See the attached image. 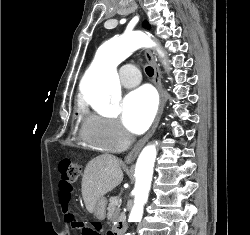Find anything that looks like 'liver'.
I'll return each mask as SVG.
<instances>
[{"mask_svg": "<svg viewBox=\"0 0 250 235\" xmlns=\"http://www.w3.org/2000/svg\"><path fill=\"white\" fill-rule=\"evenodd\" d=\"M123 180L119 160L109 154L92 159L84 170L82 197L89 213L94 212L96 202L116 188Z\"/></svg>", "mask_w": 250, "mask_h": 235, "instance_id": "6515ba94", "label": "liver"}]
</instances>
